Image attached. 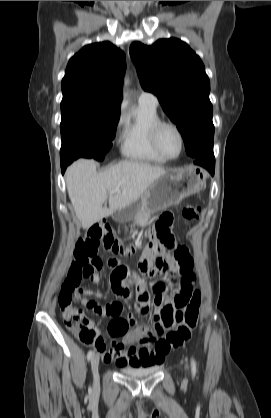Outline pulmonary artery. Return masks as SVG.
Listing matches in <instances>:
<instances>
[{
  "label": "pulmonary artery",
  "mask_w": 271,
  "mask_h": 418,
  "mask_svg": "<svg viewBox=\"0 0 271 418\" xmlns=\"http://www.w3.org/2000/svg\"><path fill=\"white\" fill-rule=\"evenodd\" d=\"M138 101L140 103H147L155 107L158 105L157 97L154 94L150 92H146V91L141 92V94L139 95Z\"/></svg>",
  "instance_id": "e3ab8cb5"
}]
</instances>
